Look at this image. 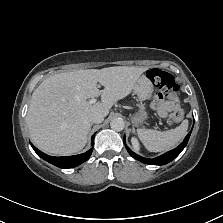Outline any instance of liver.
Segmentation results:
<instances>
[{
    "label": "liver",
    "instance_id": "obj_1",
    "mask_svg": "<svg viewBox=\"0 0 223 223\" xmlns=\"http://www.w3.org/2000/svg\"><path fill=\"white\" fill-rule=\"evenodd\" d=\"M147 67L116 66L59 73L33 92L26 116L31 139L44 153L61 156L81 151L94 111L107 115L114 101L126 96ZM97 81L104 86L98 89ZM100 97L92 106L86 99Z\"/></svg>",
    "mask_w": 223,
    "mask_h": 223
}]
</instances>
